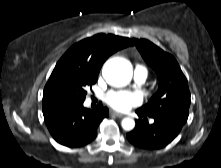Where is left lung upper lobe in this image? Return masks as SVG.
I'll return each instance as SVG.
<instances>
[{
  "label": "left lung upper lobe",
  "instance_id": "obj_1",
  "mask_svg": "<svg viewBox=\"0 0 221 168\" xmlns=\"http://www.w3.org/2000/svg\"><path fill=\"white\" fill-rule=\"evenodd\" d=\"M133 43L159 78L158 91L137 110L147 115H174L187 120L190 91L176 59L146 39H133Z\"/></svg>",
  "mask_w": 221,
  "mask_h": 168
}]
</instances>
